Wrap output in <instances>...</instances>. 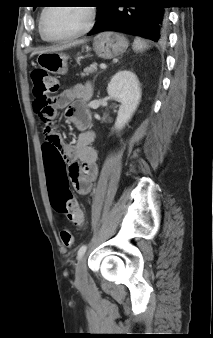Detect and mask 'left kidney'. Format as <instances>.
<instances>
[{"mask_svg": "<svg viewBox=\"0 0 213 338\" xmlns=\"http://www.w3.org/2000/svg\"><path fill=\"white\" fill-rule=\"evenodd\" d=\"M107 92L121 104L115 122V129L121 130L128 124L140 103L142 93L139 80L129 70L119 71L111 78Z\"/></svg>", "mask_w": 213, "mask_h": 338, "instance_id": "1", "label": "left kidney"}]
</instances>
